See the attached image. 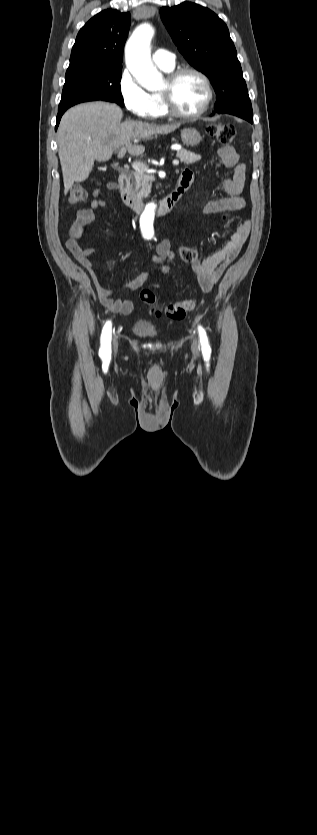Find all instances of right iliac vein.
I'll return each instance as SVG.
<instances>
[{"label": "right iliac vein", "mask_w": 317, "mask_h": 835, "mask_svg": "<svg viewBox=\"0 0 317 835\" xmlns=\"http://www.w3.org/2000/svg\"><path fill=\"white\" fill-rule=\"evenodd\" d=\"M114 346H116V341H115V339H114Z\"/></svg>", "instance_id": "right-iliac-vein-1"}]
</instances>
